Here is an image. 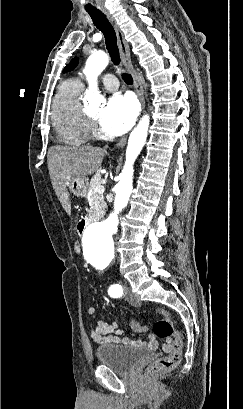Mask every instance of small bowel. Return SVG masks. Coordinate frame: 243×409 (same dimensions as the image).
Returning a JSON list of instances; mask_svg holds the SVG:
<instances>
[{
  "instance_id": "small-bowel-1",
  "label": "small bowel",
  "mask_w": 243,
  "mask_h": 409,
  "mask_svg": "<svg viewBox=\"0 0 243 409\" xmlns=\"http://www.w3.org/2000/svg\"><path fill=\"white\" fill-rule=\"evenodd\" d=\"M94 312V307L90 306L87 308V313L89 315H93ZM90 336L93 342L97 345L124 344L137 347H147L153 350L161 348L165 352H169L171 350V345L163 344L160 347L154 334H150L147 340L129 339L128 337L123 336V330L118 327V324L115 321H97L90 330Z\"/></svg>"
}]
</instances>
